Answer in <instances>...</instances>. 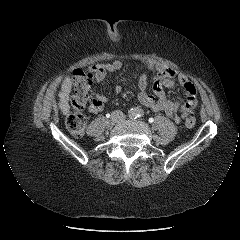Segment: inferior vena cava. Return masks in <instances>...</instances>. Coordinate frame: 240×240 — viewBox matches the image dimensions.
I'll use <instances>...</instances> for the list:
<instances>
[{"label":"inferior vena cava","mask_w":240,"mask_h":240,"mask_svg":"<svg viewBox=\"0 0 240 240\" xmlns=\"http://www.w3.org/2000/svg\"><path fill=\"white\" fill-rule=\"evenodd\" d=\"M112 120L115 123H121L125 120V115L123 114L122 111L116 110L112 113Z\"/></svg>","instance_id":"inferior-vena-cava-1"}]
</instances>
